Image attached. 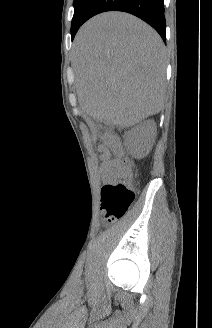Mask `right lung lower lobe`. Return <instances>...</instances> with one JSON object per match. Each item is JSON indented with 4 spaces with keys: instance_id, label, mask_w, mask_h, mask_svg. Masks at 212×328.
Segmentation results:
<instances>
[{
    "instance_id": "98d812e1",
    "label": "right lung lower lobe",
    "mask_w": 212,
    "mask_h": 328,
    "mask_svg": "<svg viewBox=\"0 0 212 328\" xmlns=\"http://www.w3.org/2000/svg\"><path fill=\"white\" fill-rule=\"evenodd\" d=\"M163 1L164 0H95L88 11L85 21L106 11L127 12L141 18L151 25L165 42L166 20ZM76 32L72 34V39Z\"/></svg>"
}]
</instances>
